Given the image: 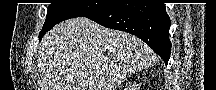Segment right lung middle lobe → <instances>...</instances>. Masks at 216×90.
<instances>
[{
    "mask_svg": "<svg viewBox=\"0 0 216 90\" xmlns=\"http://www.w3.org/2000/svg\"><path fill=\"white\" fill-rule=\"evenodd\" d=\"M112 4H50L45 23L39 34L41 39L54 25L73 17H86L100 12Z\"/></svg>",
    "mask_w": 216,
    "mask_h": 90,
    "instance_id": "dd1d6c3e",
    "label": "right lung middle lobe"
}]
</instances>
